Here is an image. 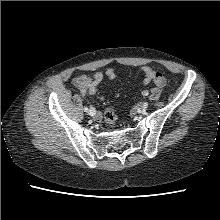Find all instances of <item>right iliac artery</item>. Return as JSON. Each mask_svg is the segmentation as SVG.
I'll return each instance as SVG.
<instances>
[{
	"label": "right iliac artery",
	"mask_w": 220,
	"mask_h": 220,
	"mask_svg": "<svg viewBox=\"0 0 220 220\" xmlns=\"http://www.w3.org/2000/svg\"><path fill=\"white\" fill-rule=\"evenodd\" d=\"M94 109V108H93ZM95 110V109H94ZM85 112H89V109L87 107H84Z\"/></svg>",
	"instance_id": "right-iliac-artery-1"
}]
</instances>
